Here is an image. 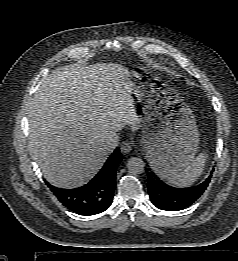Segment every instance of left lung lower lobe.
I'll use <instances>...</instances> for the list:
<instances>
[{"instance_id":"1","label":"left lung lower lobe","mask_w":238,"mask_h":261,"mask_svg":"<svg viewBox=\"0 0 238 261\" xmlns=\"http://www.w3.org/2000/svg\"><path fill=\"white\" fill-rule=\"evenodd\" d=\"M210 176L201 184L190 188H175L164 183L158 178L153 171L148 172V193L151 202L159 209L178 211L194 203L206 190L211 177Z\"/></svg>"}]
</instances>
